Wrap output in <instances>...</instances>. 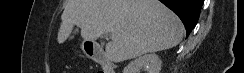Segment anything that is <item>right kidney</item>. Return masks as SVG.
Returning a JSON list of instances; mask_svg holds the SVG:
<instances>
[{"label":"right kidney","instance_id":"ca27d5eb","mask_svg":"<svg viewBox=\"0 0 244 73\" xmlns=\"http://www.w3.org/2000/svg\"><path fill=\"white\" fill-rule=\"evenodd\" d=\"M161 59L155 53L145 54L131 61L125 68L123 73H138L144 67L148 73H159L161 69Z\"/></svg>","mask_w":244,"mask_h":73}]
</instances>
